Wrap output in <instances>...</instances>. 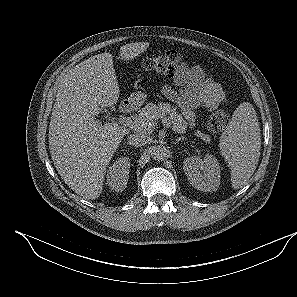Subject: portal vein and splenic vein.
<instances>
[{
    "label": "portal vein and splenic vein",
    "instance_id": "portal-vein-and-splenic-vein-1",
    "mask_svg": "<svg viewBox=\"0 0 297 297\" xmlns=\"http://www.w3.org/2000/svg\"><path fill=\"white\" fill-rule=\"evenodd\" d=\"M124 122L126 123L127 126H130V127H135L137 126V121L134 120V119H131V118H124Z\"/></svg>",
    "mask_w": 297,
    "mask_h": 297
}]
</instances>
